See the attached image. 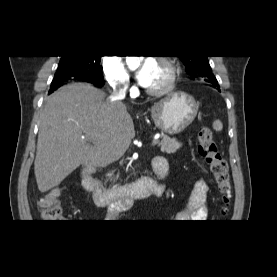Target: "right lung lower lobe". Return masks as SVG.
<instances>
[{
	"mask_svg": "<svg viewBox=\"0 0 277 277\" xmlns=\"http://www.w3.org/2000/svg\"><path fill=\"white\" fill-rule=\"evenodd\" d=\"M75 79H82V80H84V81H87V82H90V83H93V84H95V85H97V86H99V87H101L103 84L102 83H100V82H97V81H90L89 79H87V78H84V77H80V76H76L75 77ZM60 83V82H59ZM58 84V83H57ZM57 84H55V85H57ZM54 85H52V89H51V93L54 91V90H56L57 88H54ZM50 93V92H49Z\"/></svg>",
	"mask_w": 277,
	"mask_h": 277,
	"instance_id": "obj_1",
	"label": "right lung lower lobe"
}]
</instances>
